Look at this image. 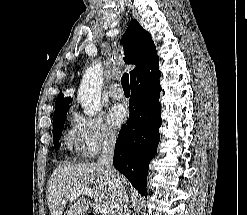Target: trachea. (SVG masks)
I'll return each instance as SVG.
<instances>
[{"mask_svg": "<svg viewBox=\"0 0 247 215\" xmlns=\"http://www.w3.org/2000/svg\"><path fill=\"white\" fill-rule=\"evenodd\" d=\"M121 83H122L123 90H130L129 75L127 73L123 74L121 78Z\"/></svg>", "mask_w": 247, "mask_h": 215, "instance_id": "3493384b", "label": "trachea"}]
</instances>
